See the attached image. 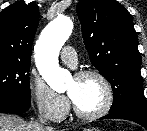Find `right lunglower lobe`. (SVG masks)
I'll return each mask as SVG.
<instances>
[{"instance_id": "right-lung-lower-lobe-1", "label": "right lung lower lobe", "mask_w": 147, "mask_h": 131, "mask_svg": "<svg viewBox=\"0 0 147 131\" xmlns=\"http://www.w3.org/2000/svg\"><path fill=\"white\" fill-rule=\"evenodd\" d=\"M30 107V103H19L10 99L0 98V113L22 114Z\"/></svg>"}]
</instances>
